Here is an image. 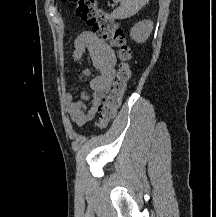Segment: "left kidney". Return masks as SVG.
Masks as SVG:
<instances>
[{"label": "left kidney", "instance_id": "left-kidney-1", "mask_svg": "<svg viewBox=\"0 0 216 217\" xmlns=\"http://www.w3.org/2000/svg\"><path fill=\"white\" fill-rule=\"evenodd\" d=\"M152 28L153 23L149 20L138 22L131 29L130 36L133 40L137 41L138 43H143L150 36Z\"/></svg>", "mask_w": 216, "mask_h": 217}]
</instances>
